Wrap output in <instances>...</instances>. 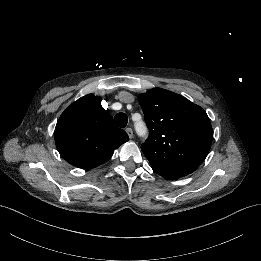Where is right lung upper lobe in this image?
<instances>
[{"instance_id": "cb5924a9", "label": "right lung upper lobe", "mask_w": 261, "mask_h": 261, "mask_svg": "<svg viewBox=\"0 0 261 261\" xmlns=\"http://www.w3.org/2000/svg\"><path fill=\"white\" fill-rule=\"evenodd\" d=\"M54 138L61 156L82 169L103 164L129 140L124 130L113 125L101 98L93 94L78 99L62 113Z\"/></svg>"}]
</instances>
